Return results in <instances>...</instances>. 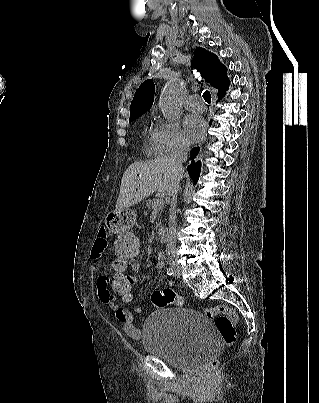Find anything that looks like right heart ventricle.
<instances>
[{"label": "right heart ventricle", "mask_w": 319, "mask_h": 403, "mask_svg": "<svg viewBox=\"0 0 319 403\" xmlns=\"http://www.w3.org/2000/svg\"><path fill=\"white\" fill-rule=\"evenodd\" d=\"M155 130L149 132V137L146 144V153L149 155H155L159 152L158 147L154 140Z\"/></svg>", "instance_id": "e07e8e85"}]
</instances>
